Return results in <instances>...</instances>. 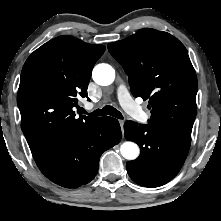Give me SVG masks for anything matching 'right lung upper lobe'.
<instances>
[{
	"instance_id": "cb5924a9",
	"label": "right lung upper lobe",
	"mask_w": 221,
	"mask_h": 221,
	"mask_svg": "<svg viewBox=\"0 0 221 221\" xmlns=\"http://www.w3.org/2000/svg\"><path fill=\"white\" fill-rule=\"evenodd\" d=\"M105 46L72 36L56 37L26 60L17 94L22 131L34 160L88 127L98 118L80 115L73 108L87 87Z\"/></svg>"
}]
</instances>
